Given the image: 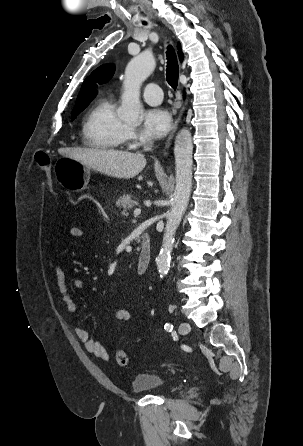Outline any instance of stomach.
<instances>
[{
  "label": "stomach",
  "instance_id": "0dacf381",
  "mask_svg": "<svg viewBox=\"0 0 303 446\" xmlns=\"http://www.w3.org/2000/svg\"><path fill=\"white\" fill-rule=\"evenodd\" d=\"M90 169V167L72 158L63 156L55 163L54 173L58 183L63 188L80 192L88 185Z\"/></svg>",
  "mask_w": 303,
  "mask_h": 446
}]
</instances>
